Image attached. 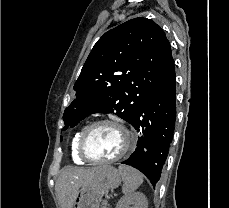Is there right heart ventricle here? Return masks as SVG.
<instances>
[{
  "instance_id": "e07e8e85",
  "label": "right heart ventricle",
  "mask_w": 229,
  "mask_h": 208,
  "mask_svg": "<svg viewBox=\"0 0 229 208\" xmlns=\"http://www.w3.org/2000/svg\"><path fill=\"white\" fill-rule=\"evenodd\" d=\"M86 127H82L78 129L72 136L71 141H70V156L72 161L77 164V165H86L89 163L88 160L85 158H80L79 157V152H78V143L81 137L82 132L84 131Z\"/></svg>"
}]
</instances>
